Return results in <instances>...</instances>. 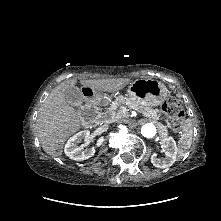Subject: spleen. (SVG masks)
Instances as JSON below:
<instances>
[{"mask_svg": "<svg viewBox=\"0 0 221 221\" xmlns=\"http://www.w3.org/2000/svg\"><path fill=\"white\" fill-rule=\"evenodd\" d=\"M192 144V130L189 126L183 128V135L179 140L180 154L184 155Z\"/></svg>", "mask_w": 221, "mask_h": 221, "instance_id": "obj_1", "label": "spleen"}]
</instances>
